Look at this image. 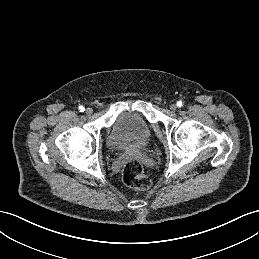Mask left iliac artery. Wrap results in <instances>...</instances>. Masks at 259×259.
<instances>
[{
  "instance_id": "44dca946",
  "label": "left iliac artery",
  "mask_w": 259,
  "mask_h": 259,
  "mask_svg": "<svg viewBox=\"0 0 259 259\" xmlns=\"http://www.w3.org/2000/svg\"><path fill=\"white\" fill-rule=\"evenodd\" d=\"M177 106H178V107L183 106V102H182V101H178V102H177Z\"/></svg>"
}]
</instances>
